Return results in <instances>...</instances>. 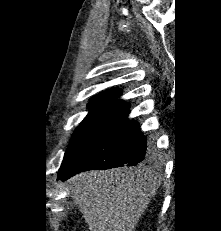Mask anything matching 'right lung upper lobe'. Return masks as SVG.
Wrapping results in <instances>:
<instances>
[{
    "mask_svg": "<svg viewBox=\"0 0 221 231\" xmlns=\"http://www.w3.org/2000/svg\"><path fill=\"white\" fill-rule=\"evenodd\" d=\"M122 94V90L118 89V88H114V89H109L106 91H103L95 96H93L91 98V100L94 99H117L120 97V95Z\"/></svg>",
    "mask_w": 221,
    "mask_h": 231,
    "instance_id": "1",
    "label": "right lung upper lobe"
}]
</instances>
